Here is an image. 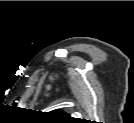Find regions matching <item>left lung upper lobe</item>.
Listing matches in <instances>:
<instances>
[{
	"mask_svg": "<svg viewBox=\"0 0 134 123\" xmlns=\"http://www.w3.org/2000/svg\"><path fill=\"white\" fill-rule=\"evenodd\" d=\"M52 114L57 115L62 118H70V116L68 114H66L65 112L60 111V110H55L52 112Z\"/></svg>",
	"mask_w": 134,
	"mask_h": 123,
	"instance_id": "obj_1",
	"label": "left lung upper lobe"
}]
</instances>
